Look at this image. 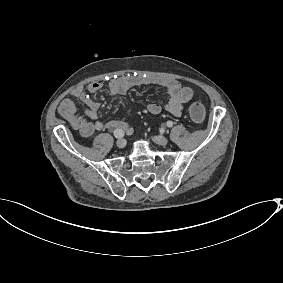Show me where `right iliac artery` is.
Wrapping results in <instances>:
<instances>
[{"label": "right iliac artery", "instance_id": "obj_1", "mask_svg": "<svg viewBox=\"0 0 283 283\" xmlns=\"http://www.w3.org/2000/svg\"><path fill=\"white\" fill-rule=\"evenodd\" d=\"M114 136H115L116 138H121V137L124 136V131L121 130V129H116V130L114 131Z\"/></svg>", "mask_w": 283, "mask_h": 283}]
</instances>
